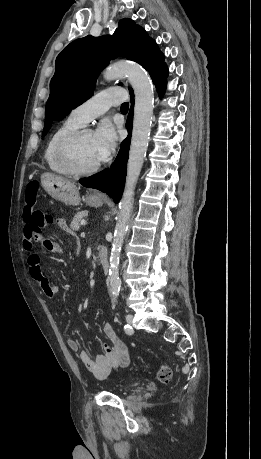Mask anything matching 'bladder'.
Returning <instances> with one entry per match:
<instances>
[{
  "label": "bladder",
  "mask_w": 261,
  "mask_h": 459,
  "mask_svg": "<svg viewBox=\"0 0 261 459\" xmlns=\"http://www.w3.org/2000/svg\"><path fill=\"white\" fill-rule=\"evenodd\" d=\"M130 387H124L123 390H129Z\"/></svg>",
  "instance_id": "obj_1"
}]
</instances>
